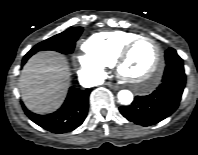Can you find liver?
<instances>
[{
  "mask_svg": "<svg viewBox=\"0 0 198 155\" xmlns=\"http://www.w3.org/2000/svg\"><path fill=\"white\" fill-rule=\"evenodd\" d=\"M70 85L66 58L56 52H39L23 67L19 88L25 106L38 114H48L63 103Z\"/></svg>",
  "mask_w": 198,
  "mask_h": 155,
  "instance_id": "1",
  "label": "liver"
}]
</instances>
